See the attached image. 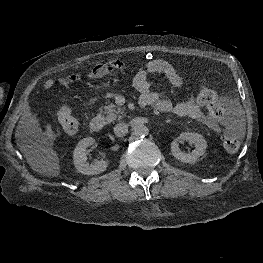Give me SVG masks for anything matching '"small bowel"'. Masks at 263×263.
Wrapping results in <instances>:
<instances>
[{
  "label": "small bowel",
  "instance_id": "c3829d8e",
  "mask_svg": "<svg viewBox=\"0 0 263 263\" xmlns=\"http://www.w3.org/2000/svg\"><path fill=\"white\" fill-rule=\"evenodd\" d=\"M112 61L105 64L94 67L88 74L87 85L91 89H95V81L104 75L115 71L124 70L125 68H118ZM120 62V61H119ZM163 74L170 81V83L177 88H182L184 85L183 79L178 74L176 69L167 61L162 59H150L134 76L132 80V86L140 94V104L142 106L152 105L161 112H172L180 117H189L194 119L207 128L213 131L219 130V124L216 117L210 113L205 114L201 109V102L198 97H190L185 101L173 104L168 99L162 97L160 94L151 91L150 83L148 81V74ZM79 79L78 75H70L62 80L63 86L67 89L72 83ZM55 85L53 79H48L43 84L44 90H50ZM29 121L34 123V115L32 112L26 114ZM48 137H52V131L47 130Z\"/></svg>",
  "mask_w": 263,
  "mask_h": 263
}]
</instances>
